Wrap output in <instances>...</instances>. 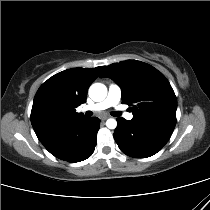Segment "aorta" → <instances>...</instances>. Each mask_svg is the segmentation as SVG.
I'll list each match as a JSON object with an SVG mask.
<instances>
[{
	"mask_svg": "<svg viewBox=\"0 0 210 210\" xmlns=\"http://www.w3.org/2000/svg\"><path fill=\"white\" fill-rule=\"evenodd\" d=\"M107 96V88L102 83H94L89 88V97L95 101H103ZM106 126L109 129H115L117 127V121L115 119H108L106 121Z\"/></svg>",
	"mask_w": 210,
	"mask_h": 210,
	"instance_id": "762f6f07",
	"label": "aorta"
}]
</instances>
